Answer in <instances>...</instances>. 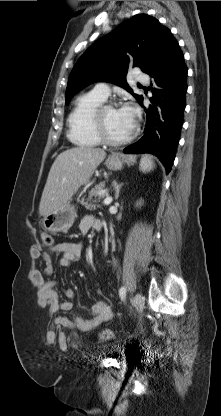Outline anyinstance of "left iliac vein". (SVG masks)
<instances>
[{
	"label": "left iliac vein",
	"instance_id": "left-iliac-vein-1",
	"mask_svg": "<svg viewBox=\"0 0 221 416\" xmlns=\"http://www.w3.org/2000/svg\"><path fill=\"white\" fill-rule=\"evenodd\" d=\"M134 305L138 312H141L144 308V297L141 293H137L134 297Z\"/></svg>",
	"mask_w": 221,
	"mask_h": 416
}]
</instances>
